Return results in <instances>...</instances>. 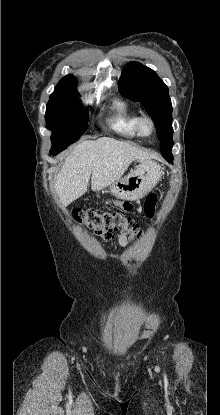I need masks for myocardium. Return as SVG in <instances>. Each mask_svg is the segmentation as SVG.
<instances>
[{
    "mask_svg": "<svg viewBox=\"0 0 220 415\" xmlns=\"http://www.w3.org/2000/svg\"><path fill=\"white\" fill-rule=\"evenodd\" d=\"M144 123H148L150 125V133L146 134L143 129H142V125ZM135 129H136V133L138 136L142 137V138H149L151 136L154 135L155 131H156V125L154 120L147 115H143V116H139L137 121H136V125H135Z\"/></svg>",
    "mask_w": 220,
    "mask_h": 415,
    "instance_id": "myocardium-1",
    "label": "myocardium"
}]
</instances>
